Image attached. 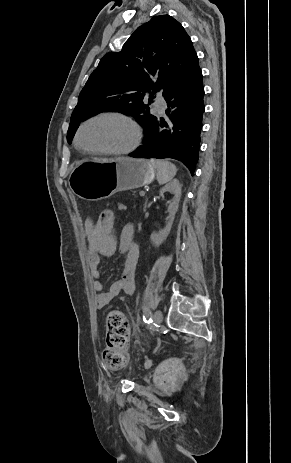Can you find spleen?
Wrapping results in <instances>:
<instances>
[{"label": "spleen", "mask_w": 291, "mask_h": 463, "mask_svg": "<svg viewBox=\"0 0 291 463\" xmlns=\"http://www.w3.org/2000/svg\"><path fill=\"white\" fill-rule=\"evenodd\" d=\"M150 163L157 170V181L160 185L171 181L176 175V166L166 160H154L151 159Z\"/></svg>", "instance_id": "spleen-1"}]
</instances>
